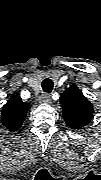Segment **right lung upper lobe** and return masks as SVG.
Returning <instances> with one entry per match:
<instances>
[{
	"label": "right lung upper lobe",
	"mask_w": 101,
	"mask_h": 180,
	"mask_svg": "<svg viewBox=\"0 0 101 180\" xmlns=\"http://www.w3.org/2000/svg\"><path fill=\"white\" fill-rule=\"evenodd\" d=\"M30 105L23 103L18 95H11L9 101L2 109L1 120L3 125L10 131L18 130L25 120Z\"/></svg>",
	"instance_id": "1"
}]
</instances>
